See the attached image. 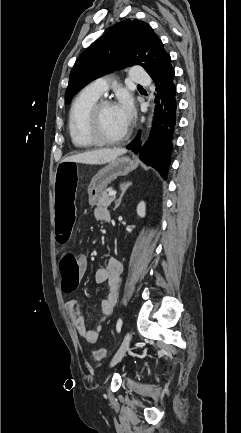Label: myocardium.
Listing matches in <instances>:
<instances>
[{"instance_id":"f54148a6","label":"myocardium","mask_w":241,"mask_h":433,"mask_svg":"<svg viewBox=\"0 0 241 433\" xmlns=\"http://www.w3.org/2000/svg\"><path fill=\"white\" fill-rule=\"evenodd\" d=\"M113 105L114 103L111 100L101 99L98 100L89 110L85 127L88 136L95 144L98 145L118 144L125 141L130 134V129L128 127L126 128V130L123 132L122 135L116 138H108L102 134L100 130V117H101L102 110L105 107L113 106Z\"/></svg>"}]
</instances>
